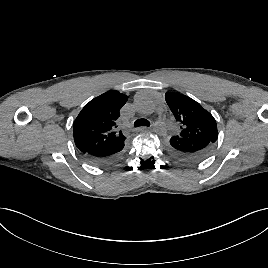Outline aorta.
<instances>
[{
  "instance_id": "1",
  "label": "aorta",
  "mask_w": 268,
  "mask_h": 268,
  "mask_svg": "<svg viewBox=\"0 0 268 268\" xmlns=\"http://www.w3.org/2000/svg\"><path fill=\"white\" fill-rule=\"evenodd\" d=\"M136 107L139 113L145 116H153L157 108V103L152 95L144 93L136 99ZM152 132L155 137L164 138L168 134V129L163 122H159L153 126Z\"/></svg>"
}]
</instances>
